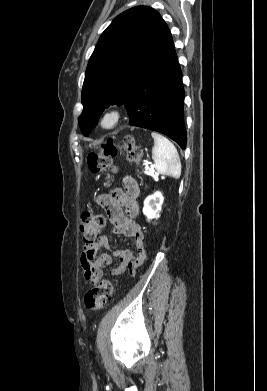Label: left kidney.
Returning <instances> with one entry per match:
<instances>
[{
	"label": "left kidney",
	"mask_w": 267,
	"mask_h": 391,
	"mask_svg": "<svg viewBox=\"0 0 267 391\" xmlns=\"http://www.w3.org/2000/svg\"><path fill=\"white\" fill-rule=\"evenodd\" d=\"M162 204L163 196L160 192H156L145 199L143 213L148 218V220L159 217Z\"/></svg>",
	"instance_id": "obj_1"
}]
</instances>
